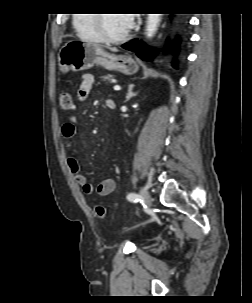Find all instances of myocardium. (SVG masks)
Listing matches in <instances>:
<instances>
[{
    "instance_id": "f54148a6",
    "label": "myocardium",
    "mask_w": 252,
    "mask_h": 303,
    "mask_svg": "<svg viewBox=\"0 0 252 303\" xmlns=\"http://www.w3.org/2000/svg\"><path fill=\"white\" fill-rule=\"evenodd\" d=\"M104 16L105 14H96L98 28L100 30V34L103 38V41L109 43H120L125 41L130 36V29H128L124 34L120 36L109 35L104 29V19H105Z\"/></svg>"
}]
</instances>
